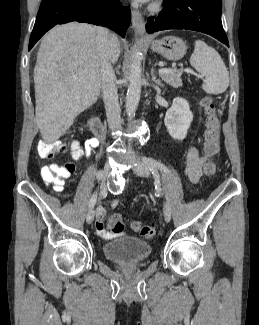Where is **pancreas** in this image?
I'll list each match as a JSON object with an SVG mask.
<instances>
[{"label":"pancreas","mask_w":259,"mask_h":325,"mask_svg":"<svg viewBox=\"0 0 259 325\" xmlns=\"http://www.w3.org/2000/svg\"><path fill=\"white\" fill-rule=\"evenodd\" d=\"M160 77L162 78L163 81H165L167 84L171 85L174 88H178L182 86L181 72L163 73L160 74Z\"/></svg>","instance_id":"1"}]
</instances>
